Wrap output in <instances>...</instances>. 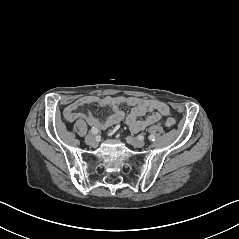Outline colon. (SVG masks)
<instances>
[{
    "label": "colon",
    "mask_w": 239,
    "mask_h": 239,
    "mask_svg": "<svg viewBox=\"0 0 239 239\" xmlns=\"http://www.w3.org/2000/svg\"><path fill=\"white\" fill-rule=\"evenodd\" d=\"M175 122H176L175 118L169 117L164 121V125L166 127H173L175 125Z\"/></svg>",
    "instance_id": "5ec220e1"
}]
</instances>
